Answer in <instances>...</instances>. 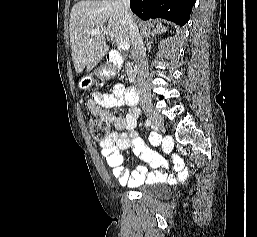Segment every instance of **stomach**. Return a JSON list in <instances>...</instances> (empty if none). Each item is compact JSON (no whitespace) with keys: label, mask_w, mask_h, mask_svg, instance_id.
<instances>
[{"label":"stomach","mask_w":257,"mask_h":237,"mask_svg":"<svg viewBox=\"0 0 257 237\" xmlns=\"http://www.w3.org/2000/svg\"><path fill=\"white\" fill-rule=\"evenodd\" d=\"M94 82V79L91 75H87V76H84L80 81H79V88L82 89V90H87V89H90V87L92 86Z\"/></svg>","instance_id":"1"}]
</instances>
